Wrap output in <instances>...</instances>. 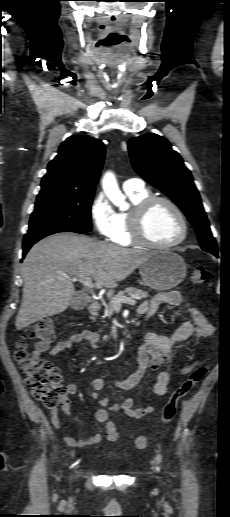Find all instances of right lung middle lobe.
<instances>
[{"mask_svg": "<svg viewBox=\"0 0 230 517\" xmlns=\"http://www.w3.org/2000/svg\"><path fill=\"white\" fill-rule=\"evenodd\" d=\"M93 196L94 192H76L37 197L28 233L54 227L91 231Z\"/></svg>", "mask_w": 230, "mask_h": 517, "instance_id": "dd1d6c3e", "label": "right lung middle lobe"}]
</instances>
